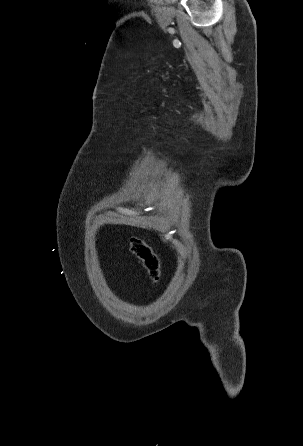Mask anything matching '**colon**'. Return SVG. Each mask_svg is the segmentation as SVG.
Segmentation results:
<instances>
[{"label": "colon", "mask_w": 303, "mask_h": 446, "mask_svg": "<svg viewBox=\"0 0 303 446\" xmlns=\"http://www.w3.org/2000/svg\"><path fill=\"white\" fill-rule=\"evenodd\" d=\"M130 250L146 269L151 282L156 285L161 276L159 256L155 253L152 247L140 237H132L130 239Z\"/></svg>", "instance_id": "5ec220e1"}]
</instances>
